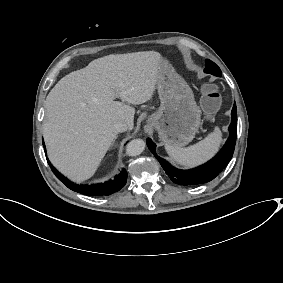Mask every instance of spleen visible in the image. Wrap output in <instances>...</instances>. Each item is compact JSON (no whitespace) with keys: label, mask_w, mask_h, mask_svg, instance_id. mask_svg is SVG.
I'll use <instances>...</instances> for the list:
<instances>
[{"label":"spleen","mask_w":283,"mask_h":283,"mask_svg":"<svg viewBox=\"0 0 283 283\" xmlns=\"http://www.w3.org/2000/svg\"><path fill=\"white\" fill-rule=\"evenodd\" d=\"M220 139L219 130H215L193 145L187 147L166 145V150L176 163L191 166L211 157L218 149Z\"/></svg>","instance_id":"spleen-1"}]
</instances>
